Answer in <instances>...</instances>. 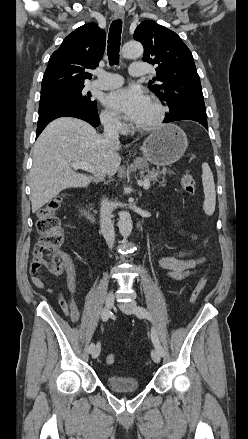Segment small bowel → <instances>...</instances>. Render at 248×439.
I'll list each match as a JSON object with an SVG mask.
<instances>
[{"mask_svg":"<svg viewBox=\"0 0 248 439\" xmlns=\"http://www.w3.org/2000/svg\"><path fill=\"white\" fill-rule=\"evenodd\" d=\"M179 234L194 241L197 236L185 230H180ZM66 260L67 289L69 298H65L62 293L58 294V302L62 312L70 318L72 322H77L80 318L79 308L75 299L76 294V274L74 266L68 257ZM205 262L204 257H194L192 251H175L169 255L162 257L158 261L160 268L165 270L166 276L173 281H181L195 273V269ZM30 274L33 284L38 288H44L45 280L40 275V267L36 265L34 260L30 264ZM48 292L53 290L48 288Z\"/></svg>","mask_w":248,"mask_h":439,"instance_id":"obj_1","label":"small bowel"}]
</instances>
